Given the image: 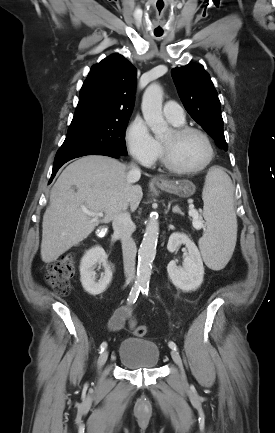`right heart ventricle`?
Instances as JSON below:
<instances>
[{
    "instance_id": "obj_1",
    "label": "right heart ventricle",
    "mask_w": 275,
    "mask_h": 433,
    "mask_svg": "<svg viewBox=\"0 0 275 433\" xmlns=\"http://www.w3.org/2000/svg\"><path fill=\"white\" fill-rule=\"evenodd\" d=\"M169 122L173 125V126H183V124H184V121H181V122H175V121H171V120H169Z\"/></svg>"
}]
</instances>
